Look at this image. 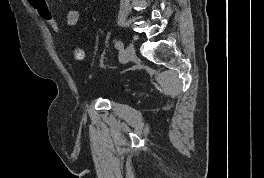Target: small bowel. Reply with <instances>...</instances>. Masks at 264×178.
I'll list each match as a JSON object with an SVG mask.
<instances>
[{
	"mask_svg": "<svg viewBox=\"0 0 264 178\" xmlns=\"http://www.w3.org/2000/svg\"><path fill=\"white\" fill-rule=\"evenodd\" d=\"M80 19V13L77 9H71L66 16V25L68 27H73L77 25Z\"/></svg>",
	"mask_w": 264,
	"mask_h": 178,
	"instance_id": "c3829d8e",
	"label": "small bowel"
}]
</instances>
